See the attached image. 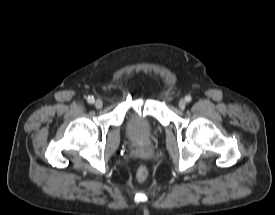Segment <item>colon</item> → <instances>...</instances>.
Listing matches in <instances>:
<instances>
[{
	"label": "colon",
	"instance_id": "1",
	"mask_svg": "<svg viewBox=\"0 0 275 215\" xmlns=\"http://www.w3.org/2000/svg\"><path fill=\"white\" fill-rule=\"evenodd\" d=\"M149 176V171L147 167L141 165L136 169V178L139 181H145Z\"/></svg>",
	"mask_w": 275,
	"mask_h": 215
}]
</instances>
